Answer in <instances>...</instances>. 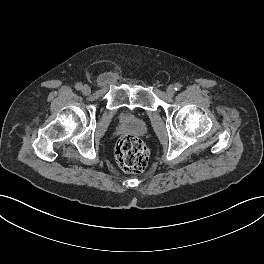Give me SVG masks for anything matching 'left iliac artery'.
I'll use <instances>...</instances> for the list:
<instances>
[{"label":"left iliac artery","instance_id":"obj_1","mask_svg":"<svg viewBox=\"0 0 264 264\" xmlns=\"http://www.w3.org/2000/svg\"><path fill=\"white\" fill-rule=\"evenodd\" d=\"M174 87H175V90L178 91L181 89L182 85L179 83H176Z\"/></svg>","mask_w":264,"mask_h":264}]
</instances>
